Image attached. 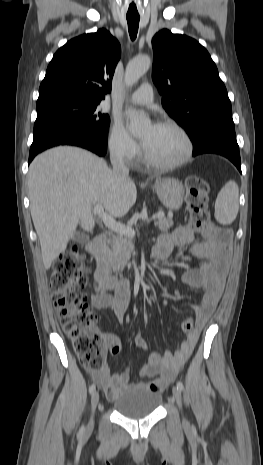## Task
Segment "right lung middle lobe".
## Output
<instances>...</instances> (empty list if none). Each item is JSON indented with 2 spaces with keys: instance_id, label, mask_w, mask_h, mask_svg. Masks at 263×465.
<instances>
[{
  "instance_id": "dd1d6c3e",
  "label": "right lung middle lobe",
  "mask_w": 263,
  "mask_h": 465,
  "mask_svg": "<svg viewBox=\"0 0 263 465\" xmlns=\"http://www.w3.org/2000/svg\"><path fill=\"white\" fill-rule=\"evenodd\" d=\"M100 100L62 96L37 101L34 136L56 129H74L107 141L110 118L100 112Z\"/></svg>"
}]
</instances>
